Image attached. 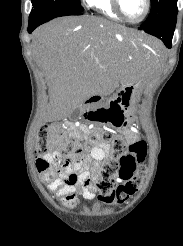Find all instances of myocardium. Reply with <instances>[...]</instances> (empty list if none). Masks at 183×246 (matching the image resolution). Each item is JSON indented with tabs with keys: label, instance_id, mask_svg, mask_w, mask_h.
Listing matches in <instances>:
<instances>
[{
	"label": "myocardium",
	"instance_id": "obj_1",
	"mask_svg": "<svg viewBox=\"0 0 183 246\" xmlns=\"http://www.w3.org/2000/svg\"><path fill=\"white\" fill-rule=\"evenodd\" d=\"M145 1V10L144 13L142 14V16L138 19H130L129 17L126 16V14L123 11L122 8V0H112L113 3V7L115 9V11L119 14V16L125 20L126 22H129L131 24H137L142 22L149 14L150 9H151V0H144Z\"/></svg>",
	"mask_w": 183,
	"mask_h": 246
}]
</instances>
